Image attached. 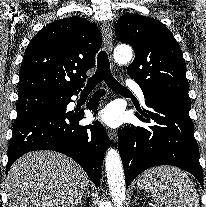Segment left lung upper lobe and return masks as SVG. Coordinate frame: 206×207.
I'll return each mask as SVG.
<instances>
[{"label": "left lung upper lobe", "mask_w": 206, "mask_h": 207, "mask_svg": "<svg viewBox=\"0 0 206 207\" xmlns=\"http://www.w3.org/2000/svg\"><path fill=\"white\" fill-rule=\"evenodd\" d=\"M115 33L135 51L127 73L145 97L159 96L190 103L182 51L165 25L150 17L126 14L118 20Z\"/></svg>", "instance_id": "left-lung-upper-lobe-1"}]
</instances>
